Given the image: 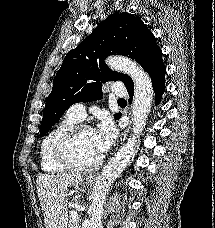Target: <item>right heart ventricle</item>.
I'll return each mask as SVG.
<instances>
[{
    "instance_id": "1",
    "label": "right heart ventricle",
    "mask_w": 215,
    "mask_h": 228,
    "mask_svg": "<svg viewBox=\"0 0 215 228\" xmlns=\"http://www.w3.org/2000/svg\"><path fill=\"white\" fill-rule=\"evenodd\" d=\"M79 120L66 113L62 119L51 128L43 137L39 149L40 167L43 172L48 174L61 173L66 168L59 165L53 157V145L57 137L70 126L78 123Z\"/></svg>"
}]
</instances>
